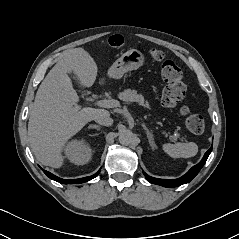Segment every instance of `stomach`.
I'll list each match as a JSON object with an SVG mask.
<instances>
[{
	"instance_id": "1",
	"label": "stomach",
	"mask_w": 239,
	"mask_h": 239,
	"mask_svg": "<svg viewBox=\"0 0 239 239\" xmlns=\"http://www.w3.org/2000/svg\"><path fill=\"white\" fill-rule=\"evenodd\" d=\"M144 54L137 49H130L117 59L108 70V76L120 79L129 71L136 70L143 65Z\"/></svg>"
}]
</instances>
